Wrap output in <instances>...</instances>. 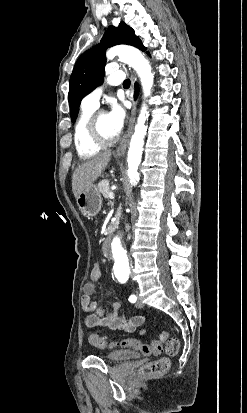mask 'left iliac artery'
Listing matches in <instances>:
<instances>
[{"mask_svg":"<svg viewBox=\"0 0 247 413\" xmlns=\"http://www.w3.org/2000/svg\"><path fill=\"white\" fill-rule=\"evenodd\" d=\"M136 300H137V297H136L135 295H131V296L129 297V301H130L131 303H135Z\"/></svg>","mask_w":247,"mask_h":413,"instance_id":"left-iliac-artery-1","label":"left iliac artery"}]
</instances>
